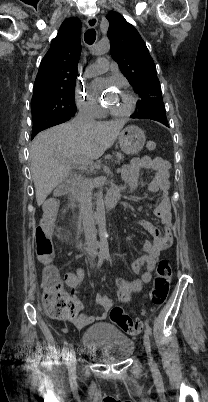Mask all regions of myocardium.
Here are the masks:
<instances>
[{"mask_svg":"<svg viewBox=\"0 0 208 402\" xmlns=\"http://www.w3.org/2000/svg\"><path fill=\"white\" fill-rule=\"evenodd\" d=\"M124 92L128 94L130 98V104L126 109H115L107 102V100L102 101L104 108L111 114L118 117H127L132 115L135 112L138 105V98L133 91H131L128 88H125Z\"/></svg>","mask_w":208,"mask_h":402,"instance_id":"myocardium-1","label":"myocardium"}]
</instances>
